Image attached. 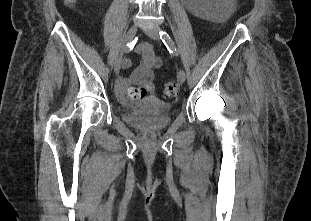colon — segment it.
Returning a JSON list of instances; mask_svg holds the SVG:
<instances>
[{
  "label": "colon",
  "instance_id": "1",
  "mask_svg": "<svg viewBox=\"0 0 311 221\" xmlns=\"http://www.w3.org/2000/svg\"><path fill=\"white\" fill-rule=\"evenodd\" d=\"M66 6L73 7L77 0H63ZM163 97L165 99H172L178 94V85L174 80H169L163 85ZM146 95V88H132L130 91V99H143Z\"/></svg>",
  "mask_w": 311,
  "mask_h": 221
}]
</instances>
